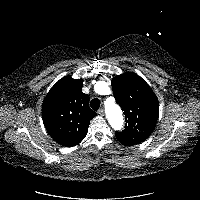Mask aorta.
I'll return each mask as SVG.
<instances>
[{"instance_id": "1", "label": "aorta", "mask_w": 200, "mask_h": 200, "mask_svg": "<svg viewBox=\"0 0 200 200\" xmlns=\"http://www.w3.org/2000/svg\"><path fill=\"white\" fill-rule=\"evenodd\" d=\"M106 113H107L109 122L113 126H116L117 124H118V126H121L122 114H121V110L118 105H116L115 103L107 104L106 105Z\"/></svg>"}]
</instances>
